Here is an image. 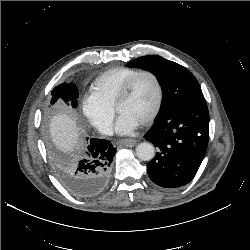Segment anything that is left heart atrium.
Here are the masks:
<instances>
[{
  "label": "left heart atrium",
  "instance_id": "obj_1",
  "mask_svg": "<svg viewBox=\"0 0 250 250\" xmlns=\"http://www.w3.org/2000/svg\"><path fill=\"white\" fill-rule=\"evenodd\" d=\"M138 124L125 115H119L116 124L115 130L119 134H129L137 128Z\"/></svg>",
  "mask_w": 250,
  "mask_h": 250
}]
</instances>
